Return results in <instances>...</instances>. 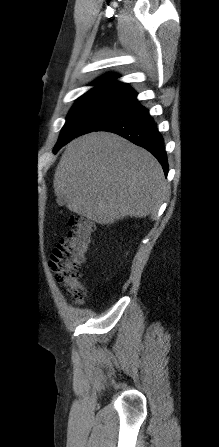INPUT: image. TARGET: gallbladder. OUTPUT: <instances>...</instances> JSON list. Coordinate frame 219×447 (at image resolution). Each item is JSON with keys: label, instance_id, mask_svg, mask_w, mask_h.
<instances>
[{"label": "gallbladder", "instance_id": "1", "mask_svg": "<svg viewBox=\"0 0 219 447\" xmlns=\"http://www.w3.org/2000/svg\"><path fill=\"white\" fill-rule=\"evenodd\" d=\"M59 205H64V201L61 200V201L59 202Z\"/></svg>", "mask_w": 219, "mask_h": 447}]
</instances>
